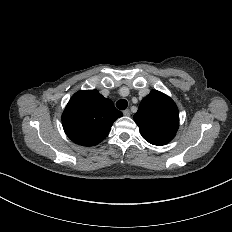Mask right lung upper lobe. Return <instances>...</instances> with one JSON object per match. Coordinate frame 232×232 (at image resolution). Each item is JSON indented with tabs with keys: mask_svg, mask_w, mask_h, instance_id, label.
Instances as JSON below:
<instances>
[{
	"mask_svg": "<svg viewBox=\"0 0 232 232\" xmlns=\"http://www.w3.org/2000/svg\"><path fill=\"white\" fill-rule=\"evenodd\" d=\"M121 116L111 100L97 90H86L72 96L62 115V123L74 143L94 146L106 138L113 122Z\"/></svg>",
	"mask_w": 232,
	"mask_h": 232,
	"instance_id": "obj_1",
	"label": "right lung upper lobe"
}]
</instances>
